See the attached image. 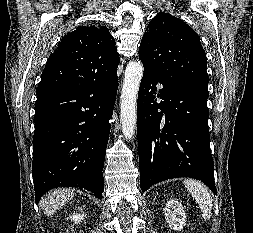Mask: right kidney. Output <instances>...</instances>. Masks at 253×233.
I'll list each match as a JSON object with an SVG mask.
<instances>
[{
	"label": "right kidney",
	"mask_w": 253,
	"mask_h": 233,
	"mask_svg": "<svg viewBox=\"0 0 253 233\" xmlns=\"http://www.w3.org/2000/svg\"><path fill=\"white\" fill-rule=\"evenodd\" d=\"M82 211V210H81ZM84 213L83 214H78V213H74V214H72L71 216H70V219H71V221L73 220L75 223H80L81 222V220H83L84 219Z\"/></svg>",
	"instance_id": "right-kidney-1"
}]
</instances>
